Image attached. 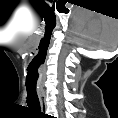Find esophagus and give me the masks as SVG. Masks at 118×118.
<instances>
[{
  "label": "esophagus",
  "mask_w": 118,
  "mask_h": 118,
  "mask_svg": "<svg viewBox=\"0 0 118 118\" xmlns=\"http://www.w3.org/2000/svg\"><path fill=\"white\" fill-rule=\"evenodd\" d=\"M38 98L40 101V106H41V111L44 113L47 109V104H46V97H45V92L38 90Z\"/></svg>",
  "instance_id": "obj_1"
}]
</instances>
